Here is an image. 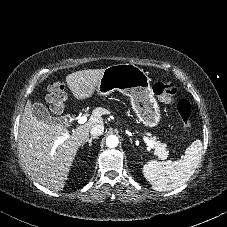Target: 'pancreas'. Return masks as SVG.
I'll return each mask as SVG.
<instances>
[{
    "mask_svg": "<svg viewBox=\"0 0 227 227\" xmlns=\"http://www.w3.org/2000/svg\"><path fill=\"white\" fill-rule=\"evenodd\" d=\"M151 141H153L155 143V154L161 158V159H165L167 156V150H166V145L160 143V141L156 140V137H151L150 138Z\"/></svg>",
    "mask_w": 227,
    "mask_h": 227,
    "instance_id": "cf45deb5",
    "label": "pancreas"
}]
</instances>
